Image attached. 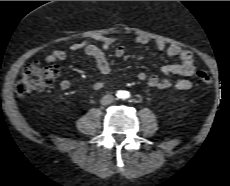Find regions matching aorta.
<instances>
[{"mask_svg":"<svg viewBox=\"0 0 230 186\" xmlns=\"http://www.w3.org/2000/svg\"><path fill=\"white\" fill-rule=\"evenodd\" d=\"M128 96V93L126 91H120L118 93L119 98H126Z\"/></svg>","mask_w":230,"mask_h":186,"instance_id":"obj_1","label":"aorta"}]
</instances>
